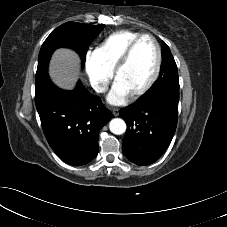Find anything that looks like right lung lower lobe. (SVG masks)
<instances>
[{"label":"right lung lower lobe","mask_w":227,"mask_h":227,"mask_svg":"<svg viewBox=\"0 0 227 227\" xmlns=\"http://www.w3.org/2000/svg\"><path fill=\"white\" fill-rule=\"evenodd\" d=\"M35 104L46 139L64 162L82 166L98 154L100 129L111 112L78 82L73 91L55 86L48 74L35 83Z\"/></svg>","instance_id":"obj_1"}]
</instances>
